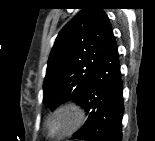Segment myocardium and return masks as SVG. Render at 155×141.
Instances as JSON below:
<instances>
[{"mask_svg":"<svg viewBox=\"0 0 155 141\" xmlns=\"http://www.w3.org/2000/svg\"><path fill=\"white\" fill-rule=\"evenodd\" d=\"M81 119L80 113L69 106L60 105L46 118L44 134L49 139H57L75 128Z\"/></svg>","mask_w":155,"mask_h":141,"instance_id":"1","label":"myocardium"}]
</instances>
